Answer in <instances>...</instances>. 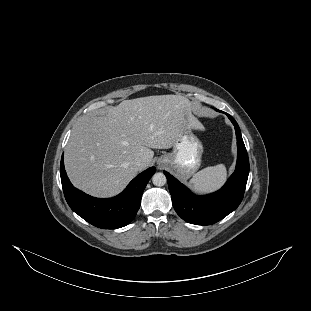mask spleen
<instances>
[{"instance_id": "obj_1", "label": "spleen", "mask_w": 311, "mask_h": 311, "mask_svg": "<svg viewBox=\"0 0 311 311\" xmlns=\"http://www.w3.org/2000/svg\"><path fill=\"white\" fill-rule=\"evenodd\" d=\"M227 178L224 164L206 167L190 179L189 184L199 193H209L219 189Z\"/></svg>"}]
</instances>
